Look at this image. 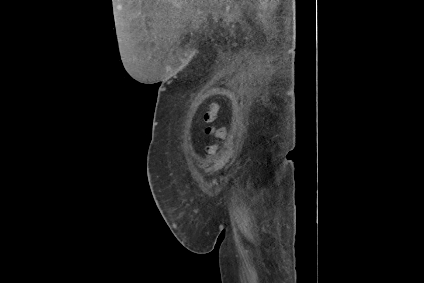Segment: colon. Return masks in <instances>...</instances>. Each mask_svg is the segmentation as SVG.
I'll use <instances>...</instances> for the list:
<instances>
[{"label": "colon", "mask_w": 424, "mask_h": 283, "mask_svg": "<svg viewBox=\"0 0 424 283\" xmlns=\"http://www.w3.org/2000/svg\"><path fill=\"white\" fill-rule=\"evenodd\" d=\"M218 112L219 106L216 102H213L203 113V120L207 123L205 131L212 138V143L205 148L207 157L213 156L226 138V128L214 124L218 117Z\"/></svg>", "instance_id": "colon-1"}]
</instances>
